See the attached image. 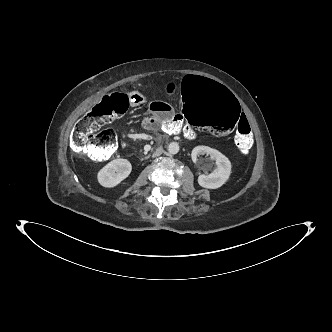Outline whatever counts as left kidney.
Here are the masks:
<instances>
[{
    "label": "left kidney",
    "mask_w": 332,
    "mask_h": 332,
    "mask_svg": "<svg viewBox=\"0 0 332 332\" xmlns=\"http://www.w3.org/2000/svg\"><path fill=\"white\" fill-rule=\"evenodd\" d=\"M204 154L209 155L210 160L215 161L217 167L208 175H199L198 184L203 188L217 189L229 179L231 174V162L221 152L208 146L195 147L191 153L192 161L201 164L202 162L198 157ZM206 168L207 166H202V169Z\"/></svg>",
    "instance_id": "1"
}]
</instances>
